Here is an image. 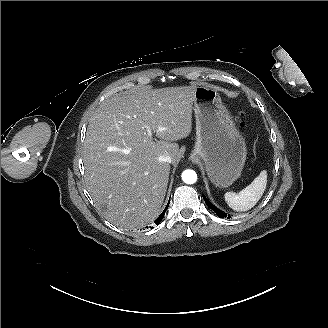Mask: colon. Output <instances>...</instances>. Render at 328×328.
Returning <instances> with one entry per match:
<instances>
[{"label":"colon","mask_w":328,"mask_h":328,"mask_svg":"<svg viewBox=\"0 0 328 328\" xmlns=\"http://www.w3.org/2000/svg\"><path fill=\"white\" fill-rule=\"evenodd\" d=\"M241 126L245 127L246 126L245 122H241Z\"/></svg>","instance_id":"colon-1"}]
</instances>
